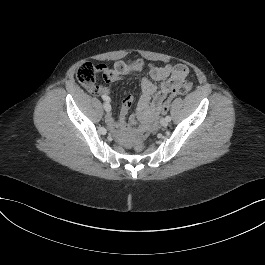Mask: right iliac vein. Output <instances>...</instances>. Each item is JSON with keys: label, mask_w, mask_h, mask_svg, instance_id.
I'll return each instance as SVG.
<instances>
[{"label": "right iliac vein", "mask_w": 265, "mask_h": 265, "mask_svg": "<svg viewBox=\"0 0 265 265\" xmlns=\"http://www.w3.org/2000/svg\"><path fill=\"white\" fill-rule=\"evenodd\" d=\"M103 107H104V110H105L106 112H110V111H111V106H110V104H109L108 102H105V103L103 104Z\"/></svg>", "instance_id": "right-iliac-vein-1"}]
</instances>
